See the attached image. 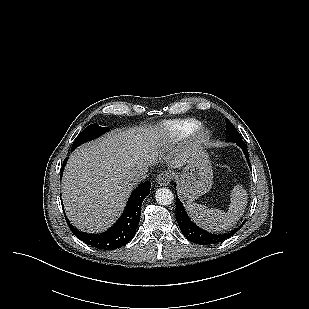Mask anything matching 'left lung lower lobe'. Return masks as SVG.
Wrapping results in <instances>:
<instances>
[{"label":"left lung lower lobe","mask_w":309,"mask_h":309,"mask_svg":"<svg viewBox=\"0 0 309 309\" xmlns=\"http://www.w3.org/2000/svg\"><path fill=\"white\" fill-rule=\"evenodd\" d=\"M236 144L244 151L246 156V160L249 161L248 150L246 144L243 141H238ZM176 220L181 229L183 235L191 242L199 244V245H210L224 241L225 239L233 236L242 226L243 224L237 228L233 229L228 233L224 234H212L209 233L197 225L192 223L189 216L187 215L181 201L176 196Z\"/></svg>","instance_id":"1"}]
</instances>
